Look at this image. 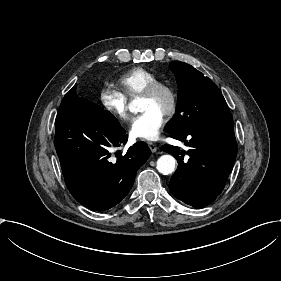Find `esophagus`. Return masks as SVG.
<instances>
[{
  "mask_svg": "<svg viewBox=\"0 0 281 281\" xmlns=\"http://www.w3.org/2000/svg\"><path fill=\"white\" fill-rule=\"evenodd\" d=\"M147 144H148V147L150 148V150H151L153 153L157 151V146H156L154 143L148 141Z\"/></svg>",
  "mask_w": 281,
  "mask_h": 281,
  "instance_id": "obj_1",
  "label": "esophagus"
}]
</instances>
